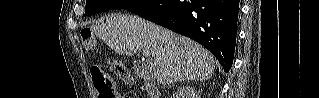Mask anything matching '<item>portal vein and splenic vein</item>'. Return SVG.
Masks as SVG:
<instances>
[{
    "label": "portal vein and splenic vein",
    "instance_id": "portal-vein-and-splenic-vein-1",
    "mask_svg": "<svg viewBox=\"0 0 319 98\" xmlns=\"http://www.w3.org/2000/svg\"><path fill=\"white\" fill-rule=\"evenodd\" d=\"M143 55L147 57V56H149V52L146 50H143Z\"/></svg>",
    "mask_w": 319,
    "mask_h": 98
}]
</instances>
